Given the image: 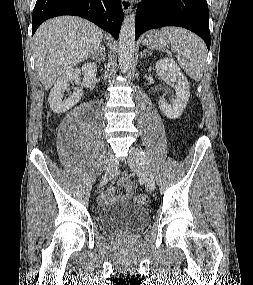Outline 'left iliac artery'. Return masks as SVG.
I'll return each mask as SVG.
<instances>
[{"mask_svg": "<svg viewBox=\"0 0 253 285\" xmlns=\"http://www.w3.org/2000/svg\"><path fill=\"white\" fill-rule=\"evenodd\" d=\"M140 154L142 155V157H143L145 160L147 159L146 153H145V151H143L142 149L140 150Z\"/></svg>", "mask_w": 253, "mask_h": 285, "instance_id": "obj_1", "label": "left iliac artery"}]
</instances>
